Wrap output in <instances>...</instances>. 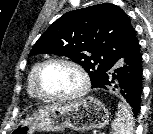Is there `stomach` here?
Instances as JSON below:
<instances>
[{
    "instance_id": "stomach-1",
    "label": "stomach",
    "mask_w": 153,
    "mask_h": 134,
    "mask_svg": "<svg viewBox=\"0 0 153 134\" xmlns=\"http://www.w3.org/2000/svg\"><path fill=\"white\" fill-rule=\"evenodd\" d=\"M109 112L98 99L87 97L69 104H52L33 112L16 126L15 134L58 132L70 128L86 132L108 123Z\"/></svg>"
}]
</instances>
